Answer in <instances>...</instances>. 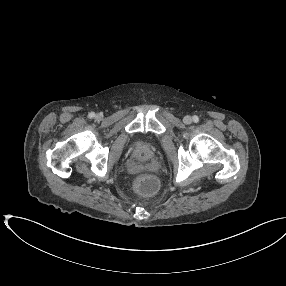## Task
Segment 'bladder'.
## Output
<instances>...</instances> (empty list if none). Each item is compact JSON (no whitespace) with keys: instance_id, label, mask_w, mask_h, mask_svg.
I'll use <instances>...</instances> for the list:
<instances>
[{"instance_id":"1","label":"bladder","mask_w":286,"mask_h":286,"mask_svg":"<svg viewBox=\"0 0 286 286\" xmlns=\"http://www.w3.org/2000/svg\"><path fill=\"white\" fill-rule=\"evenodd\" d=\"M137 145L142 151H147L150 148L149 144L145 141H139Z\"/></svg>"}]
</instances>
